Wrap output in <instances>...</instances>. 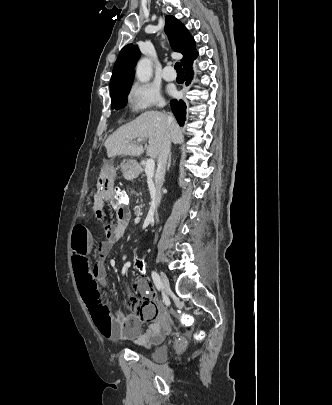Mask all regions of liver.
Wrapping results in <instances>:
<instances>
[{
	"instance_id": "6515ba94",
	"label": "liver",
	"mask_w": 332,
	"mask_h": 405,
	"mask_svg": "<svg viewBox=\"0 0 332 405\" xmlns=\"http://www.w3.org/2000/svg\"><path fill=\"white\" fill-rule=\"evenodd\" d=\"M169 135L174 144L183 142L181 128L174 121L168 126L167 116L158 111L142 113L134 121L120 127L105 141L108 158L114 156H140L144 152L142 145L135 143V139H149L147 156L156 159L160 154L163 139ZM128 141V142H127Z\"/></svg>"
}]
</instances>
